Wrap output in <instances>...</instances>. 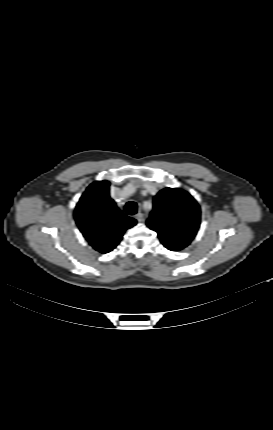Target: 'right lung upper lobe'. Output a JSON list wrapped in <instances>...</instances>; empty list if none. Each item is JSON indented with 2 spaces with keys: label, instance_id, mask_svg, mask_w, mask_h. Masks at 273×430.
Wrapping results in <instances>:
<instances>
[{
  "label": "right lung upper lobe",
  "instance_id": "cb5924a9",
  "mask_svg": "<svg viewBox=\"0 0 273 430\" xmlns=\"http://www.w3.org/2000/svg\"><path fill=\"white\" fill-rule=\"evenodd\" d=\"M108 181H95L83 193L75 211V221L89 244L100 253H108L119 244L125 230L136 220L118 209L109 196Z\"/></svg>",
  "mask_w": 273,
  "mask_h": 430
}]
</instances>
